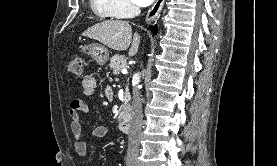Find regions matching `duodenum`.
<instances>
[{"instance_id": "1", "label": "duodenum", "mask_w": 277, "mask_h": 166, "mask_svg": "<svg viewBox=\"0 0 277 166\" xmlns=\"http://www.w3.org/2000/svg\"><path fill=\"white\" fill-rule=\"evenodd\" d=\"M119 128L121 131L128 133L131 129V115L130 113L126 112L123 114L120 122H119Z\"/></svg>"}]
</instances>
